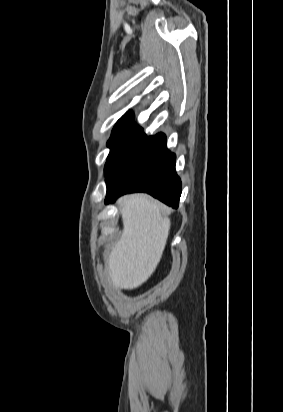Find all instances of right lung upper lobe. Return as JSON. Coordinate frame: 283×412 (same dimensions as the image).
<instances>
[{
	"mask_svg": "<svg viewBox=\"0 0 283 412\" xmlns=\"http://www.w3.org/2000/svg\"><path fill=\"white\" fill-rule=\"evenodd\" d=\"M126 115H134L131 111H129Z\"/></svg>",
	"mask_w": 283,
	"mask_h": 412,
	"instance_id": "cb5924a9",
	"label": "right lung upper lobe"
}]
</instances>
